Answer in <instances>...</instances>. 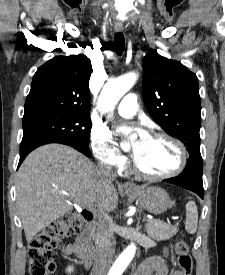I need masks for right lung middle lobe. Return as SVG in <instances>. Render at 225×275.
<instances>
[{
  "label": "right lung middle lobe",
  "mask_w": 225,
  "mask_h": 275,
  "mask_svg": "<svg viewBox=\"0 0 225 275\" xmlns=\"http://www.w3.org/2000/svg\"><path fill=\"white\" fill-rule=\"evenodd\" d=\"M89 136L88 113L44 112L23 117V139L58 138L88 147Z\"/></svg>",
  "instance_id": "dd1d6c3e"
}]
</instances>
